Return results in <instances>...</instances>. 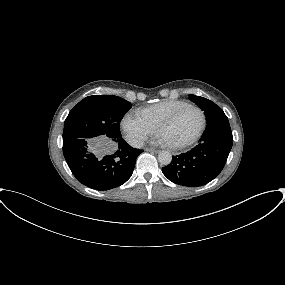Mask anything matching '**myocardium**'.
<instances>
[{
	"mask_svg": "<svg viewBox=\"0 0 285 285\" xmlns=\"http://www.w3.org/2000/svg\"><path fill=\"white\" fill-rule=\"evenodd\" d=\"M187 108H194L196 109L200 115H201V125L199 130L196 132L195 135H193L190 139L179 143V144H169L167 143V146L171 149H183L185 147H188L190 145H192L193 143H195L203 134L205 128H206V123H207V119H206V115L204 113V111L197 105L195 104H186L182 107H180L179 109H177L174 113H172L168 118H166L164 121H162L158 126H157V133L161 134V132L167 128L168 126H170L179 116V114L184 111Z\"/></svg>",
	"mask_w": 285,
	"mask_h": 285,
	"instance_id": "obj_1",
	"label": "myocardium"
}]
</instances>
